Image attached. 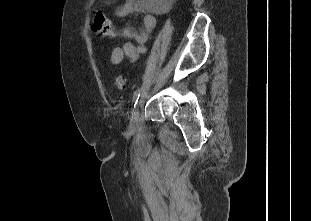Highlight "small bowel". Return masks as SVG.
<instances>
[{
  "instance_id": "c3829d8e",
  "label": "small bowel",
  "mask_w": 311,
  "mask_h": 221,
  "mask_svg": "<svg viewBox=\"0 0 311 221\" xmlns=\"http://www.w3.org/2000/svg\"><path fill=\"white\" fill-rule=\"evenodd\" d=\"M144 6L141 0H126L115 12L117 17H125L132 13L144 12ZM156 26V18L146 13L143 17V27L141 30H136L132 26L123 29L122 35L126 39L133 40L134 42H125L115 47L111 53V63L120 64L125 57L131 62L138 59L139 56L146 54V42L149 34Z\"/></svg>"
}]
</instances>
